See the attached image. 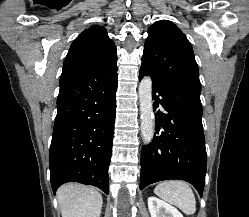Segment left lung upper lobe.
I'll return each mask as SVG.
<instances>
[{
	"instance_id": "1",
	"label": "left lung upper lobe",
	"mask_w": 249,
	"mask_h": 217,
	"mask_svg": "<svg viewBox=\"0 0 249 217\" xmlns=\"http://www.w3.org/2000/svg\"><path fill=\"white\" fill-rule=\"evenodd\" d=\"M140 70L158 83L201 92L192 46L183 32L168 20L150 26Z\"/></svg>"
}]
</instances>
